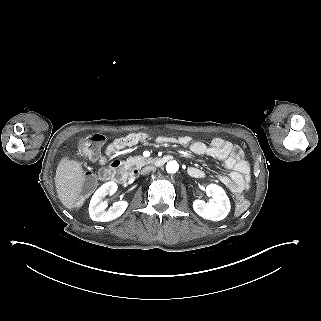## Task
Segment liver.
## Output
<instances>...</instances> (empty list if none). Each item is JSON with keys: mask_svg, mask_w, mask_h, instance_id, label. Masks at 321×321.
<instances>
[{"mask_svg": "<svg viewBox=\"0 0 321 321\" xmlns=\"http://www.w3.org/2000/svg\"><path fill=\"white\" fill-rule=\"evenodd\" d=\"M87 180L82 162L69 156L60 159L56 169L55 184L61 204L69 211L76 208V203L83 193Z\"/></svg>", "mask_w": 321, "mask_h": 321, "instance_id": "liver-1", "label": "liver"}]
</instances>
